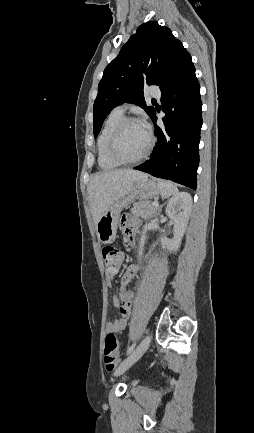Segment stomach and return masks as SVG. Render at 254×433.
<instances>
[{
	"mask_svg": "<svg viewBox=\"0 0 254 433\" xmlns=\"http://www.w3.org/2000/svg\"><path fill=\"white\" fill-rule=\"evenodd\" d=\"M160 192L155 181L143 177L135 181L131 191L116 200L96 224L97 237L103 244H111L116 238L120 212L135 199L148 200Z\"/></svg>",
	"mask_w": 254,
	"mask_h": 433,
	"instance_id": "obj_1",
	"label": "stomach"
}]
</instances>
